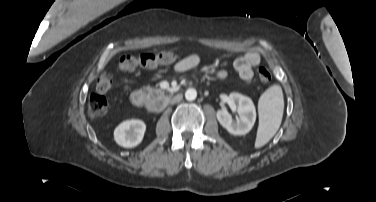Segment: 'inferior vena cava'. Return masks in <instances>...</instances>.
<instances>
[{
    "instance_id": "obj_1",
    "label": "inferior vena cava",
    "mask_w": 376,
    "mask_h": 202,
    "mask_svg": "<svg viewBox=\"0 0 376 202\" xmlns=\"http://www.w3.org/2000/svg\"><path fill=\"white\" fill-rule=\"evenodd\" d=\"M182 99V95L178 94L171 100L172 103L179 102Z\"/></svg>"
}]
</instances>
